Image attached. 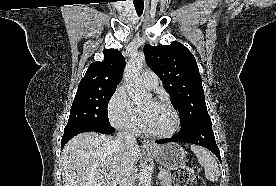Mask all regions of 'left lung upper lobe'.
I'll return each instance as SVG.
<instances>
[{
  "label": "left lung upper lobe",
  "mask_w": 276,
  "mask_h": 186,
  "mask_svg": "<svg viewBox=\"0 0 276 186\" xmlns=\"http://www.w3.org/2000/svg\"><path fill=\"white\" fill-rule=\"evenodd\" d=\"M146 62L161 79L181 115L184 132L193 126L211 123L207 112L201 76L193 54L179 42L144 46Z\"/></svg>",
  "instance_id": "obj_1"
}]
</instances>
